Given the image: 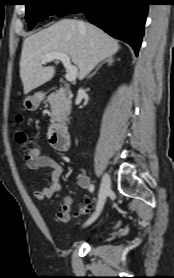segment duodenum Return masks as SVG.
I'll list each match as a JSON object with an SVG mask.
<instances>
[{"instance_id": "410a0bca", "label": "duodenum", "mask_w": 174, "mask_h": 278, "mask_svg": "<svg viewBox=\"0 0 174 278\" xmlns=\"http://www.w3.org/2000/svg\"><path fill=\"white\" fill-rule=\"evenodd\" d=\"M50 144L58 150H67L70 144L69 131L62 124L53 125L48 134Z\"/></svg>"}]
</instances>
